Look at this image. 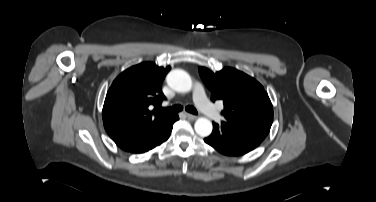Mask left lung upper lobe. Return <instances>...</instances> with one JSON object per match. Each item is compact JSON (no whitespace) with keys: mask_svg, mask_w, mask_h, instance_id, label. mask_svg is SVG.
<instances>
[{"mask_svg":"<svg viewBox=\"0 0 376 202\" xmlns=\"http://www.w3.org/2000/svg\"><path fill=\"white\" fill-rule=\"evenodd\" d=\"M199 73L211 91V99L221 100V114L231 127L265 138L273 122V107L263 86L254 78L233 68L213 73L205 67Z\"/></svg>","mask_w":376,"mask_h":202,"instance_id":"obj_1","label":"left lung upper lobe"}]
</instances>
